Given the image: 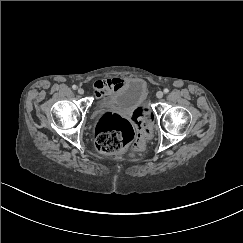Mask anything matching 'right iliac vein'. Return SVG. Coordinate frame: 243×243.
<instances>
[{"label":"right iliac vein","instance_id":"obj_1","mask_svg":"<svg viewBox=\"0 0 243 243\" xmlns=\"http://www.w3.org/2000/svg\"><path fill=\"white\" fill-rule=\"evenodd\" d=\"M78 93L81 94V95L84 94V89L83 88H78Z\"/></svg>","mask_w":243,"mask_h":243}]
</instances>
